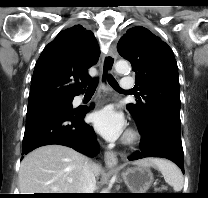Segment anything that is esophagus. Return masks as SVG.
<instances>
[{"instance_id": "esophagus-1", "label": "esophagus", "mask_w": 208, "mask_h": 198, "mask_svg": "<svg viewBox=\"0 0 208 198\" xmlns=\"http://www.w3.org/2000/svg\"><path fill=\"white\" fill-rule=\"evenodd\" d=\"M116 53L111 50L103 57L102 66H101V83L102 85H106L107 76L109 73H112L114 70V65L116 61ZM104 160L106 165L110 167L117 166L118 158L117 155L113 151H106L104 155Z\"/></svg>"}]
</instances>
